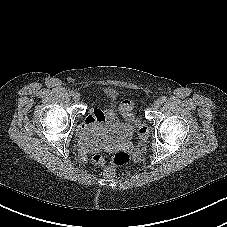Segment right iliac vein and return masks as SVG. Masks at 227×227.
<instances>
[{
    "mask_svg": "<svg viewBox=\"0 0 227 227\" xmlns=\"http://www.w3.org/2000/svg\"><path fill=\"white\" fill-rule=\"evenodd\" d=\"M73 100L76 101V102L79 101L80 100V94L79 93H74Z\"/></svg>",
    "mask_w": 227,
    "mask_h": 227,
    "instance_id": "right-iliac-vein-1",
    "label": "right iliac vein"
}]
</instances>
